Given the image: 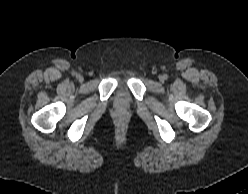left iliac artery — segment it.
<instances>
[{"label": "left iliac artery", "instance_id": "1", "mask_svg": "<svg viewBox=\"0 0 248 194\" xmlns=\"http://www.w3.org/2000/svg\"><path fill=\"white\" fill-rule=\"evenodd\" d=\"M163 78L166 80L168 78V75H163Z\"/></svg>", "mask_w": 248, "mask_h": 194}]
</instances>
